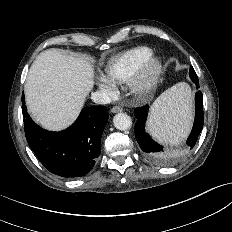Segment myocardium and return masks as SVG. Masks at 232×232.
<instances>
[{"label":"myocardium","instance_id":"myocardium-1","mask_svg":"<svg viewBox=\"0 0 232 232\" xmlns=\"http://www.w3.org/2000/svg\"><path fill=\"white\" fill-rule=\"evenodd\" d=\"M162 69L163 63L159 57H149L129 80L132 91L138 95L152 91L160 79Z\"/></svg>","mask_w":232,"mask_h":232}]
</instances>
